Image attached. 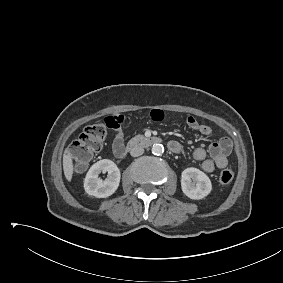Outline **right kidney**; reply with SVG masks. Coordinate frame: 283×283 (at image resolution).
<instances>
[{"label": "right kidney", "mask_w": 283, "mask_h": 283, "mask_svg": "<svg viewBox=\"0 0 283 283\" xmlns=\"http://www.w3.org/2000/svg\"><path fill=\"white\" fill-rule=\"evenodd\" d=\"M101 172H108V176L105 180L99 177ZM120 177V170L116 164L109 159H103L93 164L87 172L84 179V189L86 193L91 196L106 198L117 190Z\"/></svg>", "instance_id": "right-kidney-1"}]
</instances>
